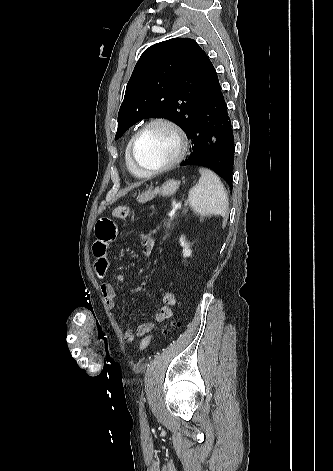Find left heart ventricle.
Here are the masks:
<instances>
[{
  "instance_id": "left-heart-ventricle-1",
  "label": "left heart ventricle",
  "mask_w": 333,
  "mask_h": 471,
  "mask_svg": "<svg viewBox=\"0 0 333 471\" xmlns=\"http://www.w3.org/2000/svg\"><path fill=\"white\" fill-rule=\"evenodd\" d=\"M178 152L176 135L168 127L154 125L140 138L136 158L145 168L159 167L172 160Z\"/></svg>"
}]
</instances>
